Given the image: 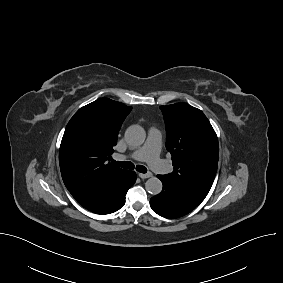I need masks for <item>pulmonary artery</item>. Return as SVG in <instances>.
Segmentation results:
<instances>
[{
	"mask_svg": "<svg viewBox=\"0 0 283 283\" xmlns=\"http://www.w3.org/2000/svg\"><path fill=\"white\" fill-rule=\"evenodd\" d=\"M161 141V131L156 128H150L147 140L140 149L129 155H117L116 159L124 160L130 158L137 161H146L153 170L158 173L165 174L168 172V166L160 158Z\"/></svg>",
	"mask_w": 283,
	"mask_h": 283,
	"instance_id": "e3ab8cb5",
	"label": "pulmonary artery"
}]
</instances>
